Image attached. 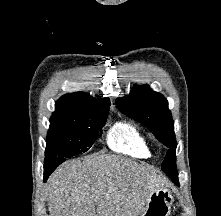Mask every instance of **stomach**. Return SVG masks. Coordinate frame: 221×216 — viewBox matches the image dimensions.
Segmentation results:
<instances>
[{
    "instance_id": "stomach-1",
    "label": "stomach",
    "mask_w": 221,
    "mask_h": 216,
    "mask_svg": "<svg viewBox=\"0 0 221 216\" xmlns=\"http://www.w3.org/2000/svg\"><path fill=\"white\" fill-rule=\"evenodd\" d=\"M174 199L167 188L152 191L141 216H169Z\"/></svg>"
}]
</instances>
